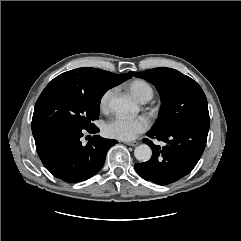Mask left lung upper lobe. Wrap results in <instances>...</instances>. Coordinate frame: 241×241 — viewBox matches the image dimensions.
Masks as SVG:
<instances>
[{"label":"left lung upper lobe","instance_id":"left-lung-upper-lobe-1","mask_svg":"<svg viewBox=\"0 0 241 241\" xmlns=\"http://www.w3.org/2000/svg\"><path fill=\"white\" fill-rule=\"evenodd\" d=\"M130 73L152 83L160 93L162 105L151 131L166 133L194 122L210 120L206 96L190 77L165 67Z\"/></svg>","mask_w":241,"mask_h":241}]
</instances>
